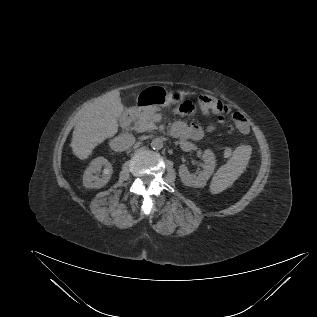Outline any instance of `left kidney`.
I'll return each mask as SVG.
<instances>
[{
    "mask_svg": "<svg viewBox=\"0 0 317 317\" xmlns=\"http://www.w3.org/2000/svg\"><path fill=\"white\" fill-rule=\"evenodd\" d=\"M202 159L204 161L203 168L204 170L200 172L198 176H195L191 174L186 165L182 164L179 167V176L181 178V181L184 183V185L189 187H196L201 188L204 187L210 178V176L213 174L215 166H216V159L214 156V153L211 150H205Z\"/></svg>",
    "mask_w": 317,
    "mask_h": 317,
    "instance_id": "1",
    "label": "left kidney"
}]
</instances>
